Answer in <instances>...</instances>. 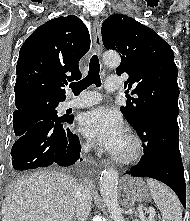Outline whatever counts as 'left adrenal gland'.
<instances>
[{"label":"left adrenal gland","mask_w":190,"mask_h":221,"mask_svg":"<svg viewBox=\"0 0 190 221\" xmlns=\"http://www.w3.org/2000/svg\"><path fill=\"white\" fill-rule=\"evenodd\" d=\"M124 205L125 207L129 208L130 211L133 210L132 206L128 203V200L126 198L124 199Z\"/></svg>","instance_id":"left-adrenal-gland-1"}]
</instances>
